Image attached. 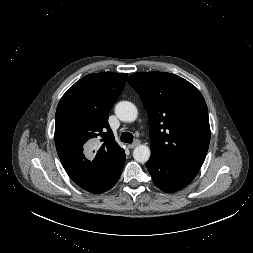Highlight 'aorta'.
<instances>
[{"mask_svg":"<svg viewBox=\"0 0 253 253\" xmlns=\"http://www.w3.org/2000/svg\"><path fill=\"white\" fill-rule=\"evenodd\" d=\"M116 116L123 122H133L138 117L136 106L129 101H121L115 107ZM151 150L147 145L141 144L135 147L133 158L139 163H145L149 160Z\"/></svg>","mask_w":253,"mask_h":253,"instance_id":"762f6f07","label":"aorta"}]
</instances>
